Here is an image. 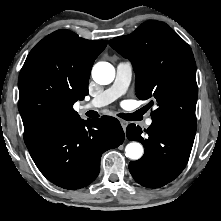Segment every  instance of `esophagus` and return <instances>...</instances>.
Returning a JSON list of instances; mask_svg holds the SVG:
<instances>
[{"label": "esophagus", "mask_w": 221, "mask_h": 221, "mask_svg": "<svg viewBox=\"0 0 221 221\" xmlns=\"http://www.w3.org/2000/svg\"><path fill=\"white\" fill-rule=\"evenodd\" d=\"M120 123H121V125H122V128L125 130L126 127H127V125H128V122L125 121V120H120Z\"/></svg>", "instance_id": "1"}]
</instances>
